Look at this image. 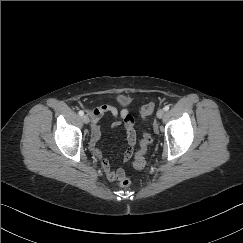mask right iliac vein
<instances>
[{"label": "right iliac vein", "mask_w": 243, "mask_h": 243, "mask_svg": "<svg viewBox=\"0 0 243 243\" xmlns=\"http://www.w3.org/2000/svg\"><path fill=\"white\" fill-rule=\"evenodd\" d=\"M82 120H83V122H84L85 124H88L89 121H90V119H89V117H88L87 115H83V116H82Z\"/></svg>", "instance_id": "63e3f726"}]
</instances>
